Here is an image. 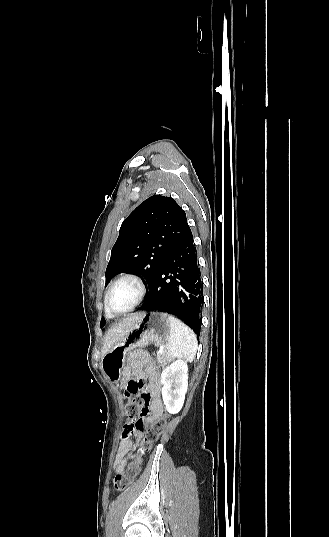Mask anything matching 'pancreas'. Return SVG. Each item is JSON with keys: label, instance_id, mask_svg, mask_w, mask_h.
Masks as SVG:
<instances>
[{"label": "pancreas", "instance_id": "1", "mask_svg": "<svg viewBox=\"0 0 329 537\" xmlns=\"http://www.w3.org/2000/svg\"><path fill=\"white\" fill-rule=\"evenodd\" d=\"M157 361L161 366H165L168 362L171 361V358L167 354V352L164 351L163 353H157Z\"/></svg>", "mask_w": 329, "mask_h": 537}]
</instances>
